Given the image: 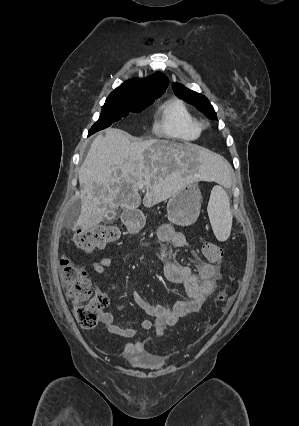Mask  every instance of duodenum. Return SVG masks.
I'll return each mask as SVG.
<instances>
[{
    "instance_id": "obj_1",
    "label": "duodenum",
    "mask_w": 299,
    "mask_h": 426,
    "mask_svg": "<svg viewBox=\"0 0 299 426\" xmlns=\"http://www.w3.org/2000/svg\"><path fill=\"white\" fill-rule=\"evenodd\" d=\"M133 219H134V216H133V214H128L126 217H125V221H126V223H132L133 222Z\"/></svg>"
}]
</instances>
